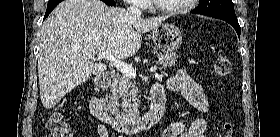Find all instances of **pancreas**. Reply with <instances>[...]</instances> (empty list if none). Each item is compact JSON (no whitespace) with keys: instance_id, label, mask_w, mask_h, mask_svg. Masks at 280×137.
<instances>
[{"instance_id":"pancreas-1","label":"pancreas","mask_w":280,"mask_h":137,"mask_svg":"<svg viewBox=\"0 0 280 137\" xmlns=\"http://www.w3.org/2000/svg\"><path fill=\"white\" fill-rule=\"evenodd\" d=\"M180 56L176 53L158 54L161 68L166 69L176 63ZM135 82L130 77L121 76L116 86L111 90L109 100L106 99V110L116 116L119 121H129L138 115Z\"/></svg>"}]
</instances>
